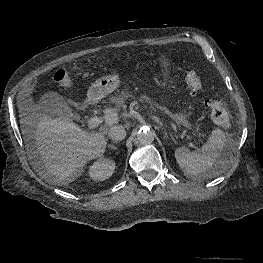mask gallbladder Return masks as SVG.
I'll return each mask as SVG.
<instances>
[{
  "instance_id": "obj_1",
  "label": "gallbladder",
  "mask_w": 263,
  "mask_h": 263,
  "mask_svg": "<svg viewBox=\"0 0 263 263\" xmlns=\"http://www.w3.org/2000/svg\"><path fill=\"white\" fill-rule=\"evenodd\" d=\"M40 111L56 120H68L72 113L69 104L57 93L44 94L39 101Z\"/></svg>"
}]
</instances>
